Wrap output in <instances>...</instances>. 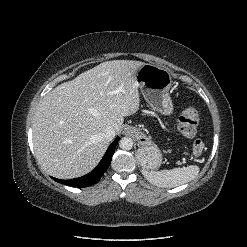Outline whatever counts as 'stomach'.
<instances>
[{
    "label": "stomach",
    "mask_w": 247,
    "mask_h": 247,
    "mask_svg": "<svg viewBox=\"0 0 247 247\" xmlns=\"http://www.w3.org/2000/svg\"><path fill=\"white\" fill-rule=\"evenodd\" d=\"M135 78L148 105L158 113L170 115L173 111L169 94L172 85L170 72L163 67L144 63L137 70ZM125 131L133 134L140 144L137 156L142 167L146 170L158 169L163 159L161 150L139 128L126 126Z\"/></svg>",
    "instance_id": "stomach-1"
}]
</instances>
